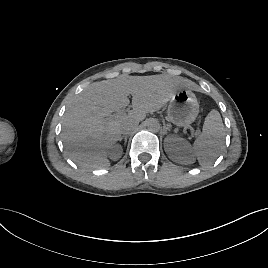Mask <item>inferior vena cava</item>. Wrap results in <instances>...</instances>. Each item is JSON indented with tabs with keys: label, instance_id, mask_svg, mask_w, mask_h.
Wrapping results in <instances>:
<instances>
[{
	"label": "inferior vena cava",
	"instance_id": "obj_1",
	"mask_svg": "<svg viewBox=\"0 0 268 268\" xmlns=\"http://www.w3.org/2000/svg\"><path fill=\"white\" fill-rule=\"evenodd\" d=\"M137 127V124H135L134 122L128 121V122H124L121 125V133L123 135H128L131 132H133Z\"/></svg>",
	"mask_w": 268,
	"mask_h": 268
}]
</instances>
